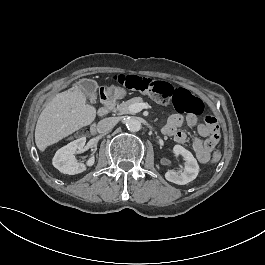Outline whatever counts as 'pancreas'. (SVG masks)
I'll return each instance as SVG.
<instances>
[{"instance_id":"pancreas-1","label":"pancreas","mask_w":265,"mask_h":265,"mask_svg":"<svg viewBox=\"0 0 265 265\" xmlns=\"http://www.w3.org/2000/svg\"><path fill=\"white\" fill-rule=\"evenodd\" d=\"M135 103H146V102L144 101L142 97H134L127 101H123L120 104H117L116 112L118 114H127L129 113V110H128L129 105L135 104Z\"/></svg>"}]
</instances>
